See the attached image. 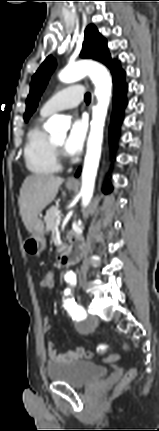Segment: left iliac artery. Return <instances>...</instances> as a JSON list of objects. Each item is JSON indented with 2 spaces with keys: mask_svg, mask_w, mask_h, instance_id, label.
I'll return each mask as SVG.
<instances>
[{
  "mask_svg": "<svg viewBox=\"0 0 159 431\" xmlns=\"http://www.w3.org/2000/svg\"><path fill=\"white\" fill-rule=\"evenodd\" d=\"M71 286H74L76 284V279H70L68 281ZM66 298L64 299V308L67 310V312L77 320L84 319L86 317V312L84 308L77 304L72 297V291L70 289L65 290L64 292Z\"/></svg>",
  "mask_w": 159,
  "mask_h": 431,
  "instance_id": "44dca946",
  "label": "left iliac artery"
}]
</instances>
